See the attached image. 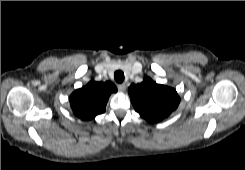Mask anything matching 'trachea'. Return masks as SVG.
<instances>
[{"mask_svg":"<svg viewBox=\"0 0 245 170\" xmlns=\"http://www.w3.org/2000/svg\"><path fill=\"white\" fill-rule=\"evenodd\" d=\"M114 78L117 83H122L124 81V73L121 70H118L114 73Z\"/></svg>","mask_w":245,"mask_h":170,"instance_id":"1","label":"trachea"}]
</instances>
